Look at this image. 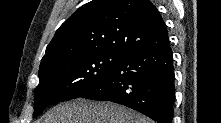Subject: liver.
Masks as SVG:
<instances>
[{
    "label": "liver",
    "mask_w": 221,
    "mask_h": 123,
    "mask_svg": "<svg viewBox=\"0 0 221 123\" xmlns=\"http://www.w3.org/2000/svg\"><path fill=\"white\" fill-rule=\"evenodd\" d=\"M43 123H152V121L118 104L77 99L54 106L44 116Z\"/></svg>",
    "instance_id": "1"
}]
</instances>
